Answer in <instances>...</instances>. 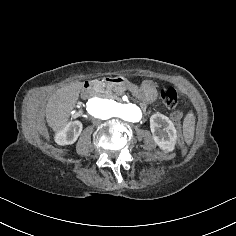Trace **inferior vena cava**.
<instances>
[{"mask_svg": "<svg viewBox=\"0 0 236 236\" xmlns=\"http://www.w3.org/2000/svg\"><path fill=\"white\" fill-rule=\"evenodd\" d=\"M93 119V125L94 126H99L100 125V120L97 118H92Z\"/></svg>", "mask_w": 236, "mask_h": 236, "instance_id": "602c4592", "label": "inferior vena cava"}]
</instances>
